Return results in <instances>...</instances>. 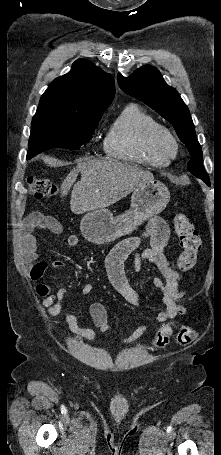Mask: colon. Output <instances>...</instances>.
Returning <instances> with one entry per match:
<instances>
[{"label": "colon", "instance_id": "obj_1", "mask_svg": "<svg viewBox=\"0 0 221 455\" xmlns=\"http://www.w3.org/2000/svg\"><path fill=\"white\" fill-rule=\"evenodd\" d=\"M30 194L35 199H48L58 194L57 185L49 179L32 177L28 180ZM174 227L179 238L181 248L180 255L176 262V268L179 271H190L196 264L199 251L201 249V240L197 229L191 219L184 214H178L174 218ZM174 332L171 323L163 324L156 332L153 340V346L156 349L165 348ZM197 339L195 330L188 326H182L177 334L176 340L180 345H191Z\"/></svg>", "mask_w": 221, "mask_h": 455}]
</instances>
